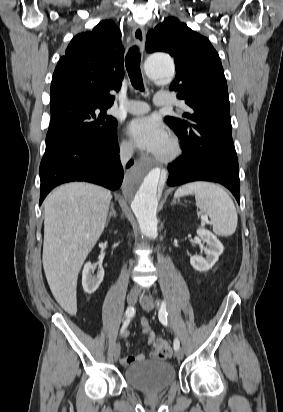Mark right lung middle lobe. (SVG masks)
I'll return each instance as SVG.
<instances>
[{
    "mask_svg": "<svg viewBox=\"0 0 283 412\" xmlns=\"http://www.w3.org/2000/svg\"><path fill=\"white\" fill-rule=\"evenodd\" d=\"M109 107L97 104H74L66 112L51 115L46 147L73 136L101 138L116 130L117 120L106 114Z\"/></svg>",
    "mask_w": 283,
    "mask_h": 412,
    "instance_id": "obj_1",
    "label": "right lung middle lobe"
}]
</instances>
